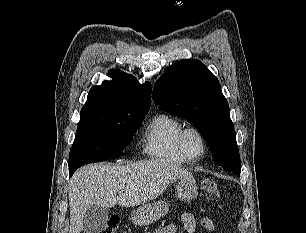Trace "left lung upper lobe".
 Instances as JSON below:
<instances>
[{
  "mask_svg": "<svg viewBox=\"0 0 306 233\" xmlns=\"http://www.w3.org/2000/svg\"><path fill=\"white\" fill-rule=\"evenodd\" d=\"M153 99L163 110L191 121L208 143L215 163L240 175L229 105L218 79L203 63L184 59L167 67L154 85Z\"/></svg>",
  "mask_w": 306,
  "mask_h": 233,
  "instance_id": "1",
  "label": "left lung upper lobe"
}]
</instances>
